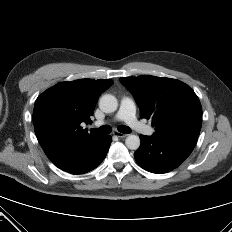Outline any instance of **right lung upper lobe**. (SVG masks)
<instances>
[{
  "label": "right lung upper lobe",
  "instance_id": "1",
  "mask_svg": "<svg viewBox=\"0 0 232 232\" xmlns=\"http://www.w3.org/2000/svg\"><path fill=\"white\" fill-rule=\"evenodd\" d=\"M113 84L109 79L66 81L43 92L33 111L37 139L49 159L84 147L99 136L82 129L81 123H91L96 102Z\"/></svg>",
  "mask_w": 232,
  "mask_h": 232
}]
</instances>
